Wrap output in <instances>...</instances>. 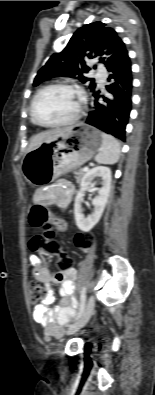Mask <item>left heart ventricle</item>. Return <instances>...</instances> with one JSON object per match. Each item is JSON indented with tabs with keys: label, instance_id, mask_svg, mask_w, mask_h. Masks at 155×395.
<instances>
[{
	"label": "left heart ventricle",
	"instance_id": "left-heart-ventricle-1",
	"mask_svg": "<svg viewBox=\"0 0 155 395\" xmlns=\"http://www.w3.org/2000/svg\"><path fill=\"white\" fill-rule=\"evenodd\" d=\"M78 106L77 94L66 88H52L43 92L35 103L36 118L42 123H56L69 119Z\"/></svg>",
	"mask_w": 155,
	"mask_h": 395
}]
</instances>
